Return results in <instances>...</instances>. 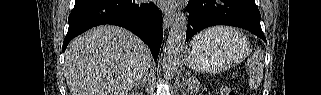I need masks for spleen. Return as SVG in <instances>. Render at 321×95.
<instances>
[{
	"mask_svg": "<svg viewBox=\"0 0 321 95\" xmlns=\"http://www.w3.org/2000/svg\"><path fill=\"white\" fill-rule=\"evenodd\" d=\"M232 28L228 27H213L200 33L199 37H220L231 33ZM247 68L249 70V86L251 88H258L261 84L264 71V56L261 48H256L252 56L248 59Z\"/></svg>",
	"mask_w": 321,
	"mask_h": 95,
	"instance_id": "1",
	"label": "spleen"
}]
</instances>
